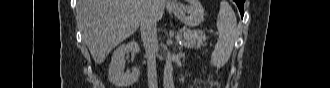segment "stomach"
Instances as JSON below:
<instances>
[{
    "label": "stomach",
    "instance_id": "stomach-1",
    "mask_svg": "<svg viewBox=\"0 0 330 88\" xmlns=\"http://www.w3.org/2000/svg\"><path fill=\"white\" fill-rule=\"evenodd\" d=\"M171 10L188 27H196L204 20V9L197 0L190 1L188 5L178 4Z\"/></svg>",
    "mask_w": 330,
    "mask_h": 88
}]
</instances>
